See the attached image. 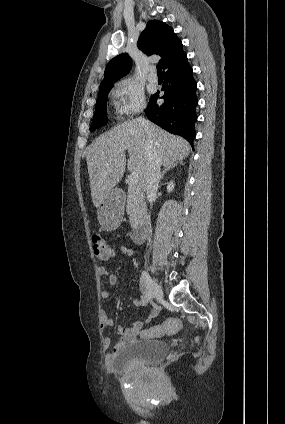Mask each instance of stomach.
Instances as JSON below:
<instances>
[{
    "label": "stomach",
    "mask_w": 285,
    "mask_h": 424,
    "mask_svg": "<svg viewBox=\"0 0 285 424\" xmlns=\"http://www.w3.org/2000/svg\"><path fill=\"white\" fill-rule=\"evenodd\" d=\"M124 206V199L111 192L97 210V218L101 226L106 230L117 228L123 217Z\"/></svg>",
    "instance_id": "0dacf381"
}]
</instances>
